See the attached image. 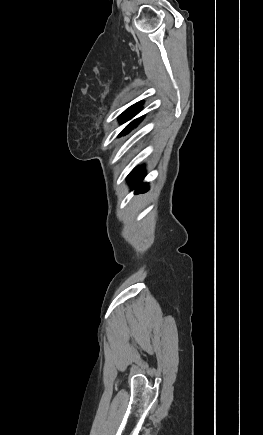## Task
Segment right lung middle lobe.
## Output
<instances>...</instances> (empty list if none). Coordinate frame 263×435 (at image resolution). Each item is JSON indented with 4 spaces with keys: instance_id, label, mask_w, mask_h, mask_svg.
Wrapping results in <instances>:
<instances>
[{
    "instance_id": "obj_1",
    "label": "right lung middle lobe",
    "mask_w": 263,
    "mask_h": 435,
    "mask_svg": "<svg viewBox=\"0 0 263 435\" xmlns=\"http://www.w3.org/2000/svg\"><path fill=\"white\" fill-rule=\"evenodd\" d=\"M142 109L141 106H131L129 107L126 111H124L121 116H120V122L123 123L125 121H128L129 119H131L132 117H134L140 110ZM136 120L132 121L121 133L120 135H125L127 134L132 126L134 125Z\"/></svg>"
}]
</instances>
